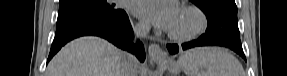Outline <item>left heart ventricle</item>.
I'll return each instance as SVG.
<instances>
[{
	"label": "left heart ventricle",
	"mask_w": 287,
	"mask_h": 76,
	"mask_svg": "<svg viewBox=\"0 0 287 76\" xmlns=\"http://www.w3.org/2000/svg\"><path fill=\"white\" fill-rule=\"evenodd\" d=\"M197 24V18L194 14L185 11H179L178 16L170 28L175 33H185L192 30Z\"/></svg>",
	"instance_id": "obj_1"
}]
</instances>
